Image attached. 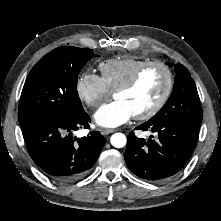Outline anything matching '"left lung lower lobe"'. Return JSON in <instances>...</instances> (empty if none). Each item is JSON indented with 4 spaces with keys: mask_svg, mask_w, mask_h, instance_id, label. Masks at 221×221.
<instances>
[{
    "mask_svg": "<svg viewBox=\"0 0 221 221\" xmlns=\"http://www.w3.org/2000/svg\"><path fill=\"white\" fill-rule=\"evenodd\" d=\"M136 129L156 133L157 139L150 136L145 141L131 132L124 153L126 164L136 176L154 182L176 175L188 162L199 137V130L170 118L149 120Z\"/></svg>",
    "mask_w": 221,
    "mask_h": 221,
    "instance_id": "1",
    "label": "left lung lower lobe"
}]
</instances>
